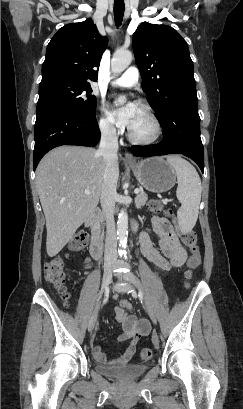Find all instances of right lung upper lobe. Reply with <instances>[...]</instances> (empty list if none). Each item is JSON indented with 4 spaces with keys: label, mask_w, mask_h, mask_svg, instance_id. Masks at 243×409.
<instances>
[{
    "label": "right lung upper lobe",
    "mask_w": 243,
    "mask_h": 409,
    "mask_svg": "<svg viewBox=\"0 0 243 409\" xmlns=\"http://www.w3.org/2000/svg\"><path fill=\"white\" fill-rule=\"evenodd\" d=\"M107 42L91 18L63 26L48 44L42 79L63 77L90 85L97 81Z\"/></svg>",
    "instance_id": "1"
}]
</instances>
